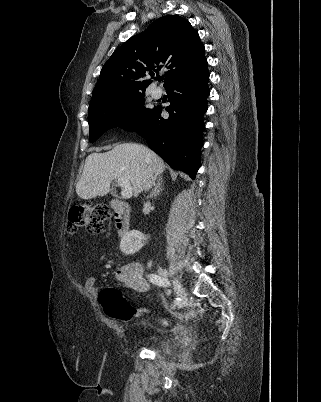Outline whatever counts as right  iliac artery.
I'll list each match as a JSON object with an SVG mask.
<instances>
[{"mask_svg":"<svg viewBox=\"0 0 321 402\" xmlns=\"http://www.w3.org/2000/svg\"><path fill=\"white\" fill-rule=\"evenodd\" d=\"M148 279L150 280V282H152L153 284H156L158 286L167 287L169 285V282L166 278L161 277L160 275H157V274H149ZM168 294H170V291H168ZM179 300L180 299L177 298L175 302L178 303Z\"/></svg>","mask_w":321,"mask_h":402,"instance_id":"obj_1","label":"right iliac artery"}]
</instances>
